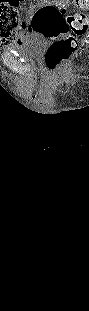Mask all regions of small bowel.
<instances>
[{
	"instance_id": "1",
	"label": "small bowel",
	"mask_w": 89,
	"mask_h": 311,
	"mask_svg": "<svg viewBox=\"0 0 89 311\" xmlns=\"http://www.w3.org/2000/svg\"><path fill=\"white\" fill-rule=\"evenodd\" d=\"M27 35L28 33L25 31V27L23 24H20L19 27L11 33L12 41L22 42L27 37Z\"/></svg>"
}]
</instances>
